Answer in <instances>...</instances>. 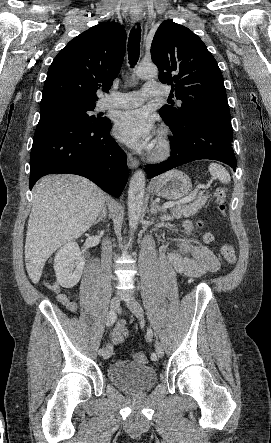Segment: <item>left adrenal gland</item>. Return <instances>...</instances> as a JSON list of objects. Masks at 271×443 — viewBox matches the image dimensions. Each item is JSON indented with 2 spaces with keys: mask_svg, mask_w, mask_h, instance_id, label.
I'll use <instances>...</instances> for the list:
<instances>
[{
  "mask_svg": "<svg viewBox=\"0 0 271 443\" xmlns=\"http://www.w3.org/2000/svg\"><path fill=\"white\" fill-rule=\"evenodd\" d=\"M158 212H164V208H159L158 204L151 198L150 214H158Z\"/></svg>",
  "mask_w": 271,
  "mask_h": 443,
  "instance_id": "1",
  "label": "left adrenal gland"
}]
</instances>
